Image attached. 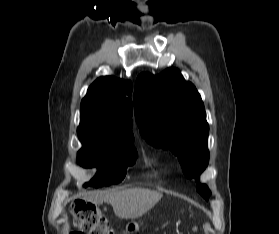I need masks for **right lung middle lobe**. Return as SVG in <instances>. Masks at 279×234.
Masks as SVG:
<instances>
[{"mask_svg":"<svg viewBox=\"0 0 279 234\" xmlns=\"http://www.w3.org/2000/svg\"><path fill=\"white\" fill-rule=\"evenodd\" d=\"M77 133L82 143L78 163L86 168L98 167L96 175L84 186L103 187L121 182L127 167L133 165L138 156L133 140L102 141L85 135L79 128Z\"/></svg>","mask_w":279,"mask_h":234,"instance_id":"1","label":"right lung middle lobe"}]
</instances>
